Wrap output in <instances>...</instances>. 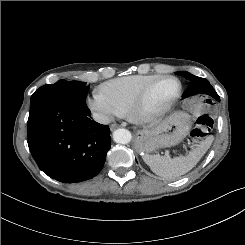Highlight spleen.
I'll list each match as a JSON object with an SVG mask.
<instances>
[{
	"label": "spleen",
	"instance_id": "3e777b00",
	"mask_svg": "<svg viewBox=\"0 0 245 245\" xmlns=\"http://www.w3.org/2000/svg\"><path fill=\"white\" fill-rule=\"evenodd\" d=\"M207 149L208 144L202 142L186 156L180 155L171 158L169 156L145 154L143 160L156 175L167 180H174L192 170Z\"/></svg>",
	"mask_w": 245,
	"mask_h": 245
}]
</instances>
